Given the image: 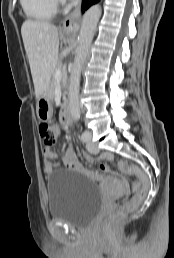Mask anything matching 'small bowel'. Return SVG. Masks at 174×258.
Wrapping results in <instances>:
<instances>
[{
	"label": "small bowel",
	"instance_id": "obj_1",
	"mask_svg": "<svg viewBox=\"0 0 174 258\" xmlns=\"http://www.w3.org/2000/svg\"><path fill=\"white\" fill-rule=\"evenodd\" d=\"M44 156V170L46 173L50 174L53 170L59 166L58 160L60 157L49 147L44 148L43 150ZM109 158L111 156H108ZM61 160L64 163V166L70 170H77V171H85L87 175L92 176L93 179H100L101 175L98 171H87L85 170L77 161V158L71 148H68L65 154L61 157ZM94 158L90 154H84L83 161L84 162H93ZM98 167H107V162H98ZM123 184H128V179H123ZM126 190H129L128 186H125Z\"/></svg>",
	"mask_w": 174,
	"mask_h": 258
}]
</instances>
